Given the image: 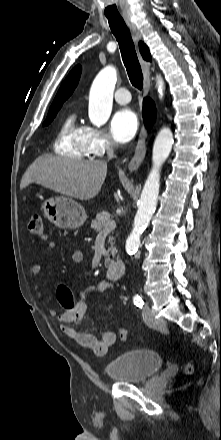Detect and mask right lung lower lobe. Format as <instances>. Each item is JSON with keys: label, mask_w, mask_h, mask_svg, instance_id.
I'll return each instance as SVG.
<instances>
[{"label": "right lung lower lobe", "mask_w": 221, "mask_h": 440, "mask_svg": "<svg viewBox=\"0 0 221 440\" xmlns=\"http://www.w3.org/2000/svg\"><path fill=\"white\" fill-rule=\"evenodd\" d=\"M156 117V108L154 102L150 98L143 101V119L147 128H150Z\"/></svg>", "instance_id": "1"}]
</instances>
